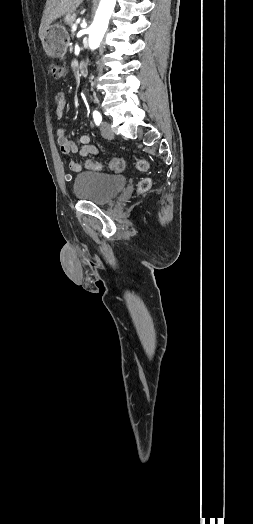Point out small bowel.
Wrapping results in <instances>:
<instances>
[{
  "label": "small bowel",
  "instance_id": "c3829d8e",
  "mask_svg": "<svg viewBox=\"0 0 253 524\" xmlns=\"http://www.w3.org/2000/svg\"><path fill=\"white\" fill-rule=\"evenodd\" d=\"M56 103H57V106H56L55 113H56L57 118L60 119L63 116L64 110L67 105V101H66V97L64 93L59 92L56 94ZM56 133H57L58 144L60 146L61 153L68 160L69 168L74 172L80 171L82 169V164L77 160L69 159V155L71 153L79 152V154L82 157H87L89 155L97 153V148L90 143V138L86 134H83L80 136L79 140L81 143V148L79 149L73 141L68 139L66 135V129L64 127H59Z\"/></svg>",
  "mask_w": 253,
  "mask_h": 524
}]
</instances>
